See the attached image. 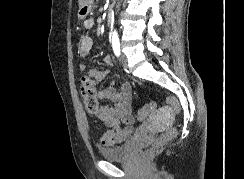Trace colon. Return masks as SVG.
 Segmentation results:
<instances>
[{
	"mask_svg": "<svg viewBox=\"0 0 244 179\" xmlns=\"http://www.w3.org/2000/svg\"><path fill=\"white\" fill-rule=\"evenodd\" d=\"M80 94L82 100L85 104V107L89 113H93L96 111V85L95 81L91 78H84L81 88ZM165 103L167 107H171L174 112L178 111V99H175V96H166ZM156 109V104L154 101H145V107L139 108V118H137V123H146V119L150 118V112H154ZM169 133H165V137H159V142L155 143L156 147H153L150 151L151 155H154L155 152H159V147H165V142H171V138H176V128H169Z\"/></svg>",
	"mask_w": 244,
	"mask_h": 179,
	"instance_id": "obj_1",
	"label": "colon"
}]
</instances>
